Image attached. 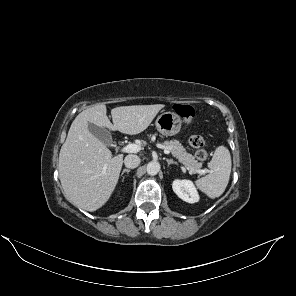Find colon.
<instances>
[{"label":"colon","mask_w":296,"mask_h":296,"mask_svg":"<svg viewBox=\"0 0 296 296\" xmlns=\"http://www.w3.org/2000/svg\"><path fill=\"white\" fill-rule=\"evenodd\" d=\"M174 112L184 119L186 125H190L193 121L195 112L188 104L178 103L173 106ZM189 145L196 150V158L199 161H206L208 158L207 152L204 150L205 141L201 135L190 136Z\"/></svg>","instance_id":"5ec220e1"}]
</instances>
